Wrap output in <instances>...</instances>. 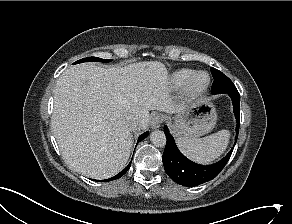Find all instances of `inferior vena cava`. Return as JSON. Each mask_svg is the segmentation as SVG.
<instances>
[{
	"label": "inferior vena cava",
	"mask_w": 292,
	"mask_h": 224,
	"mask_svg": "<svg viewBox=\"0 0 292 224\" xmlns=\"http://www.w3.org/2000/svg\"><path fill=\"white\" fill-rule=\"evenodd\" d=\"M127 127L130 131H138L140 129L139 121L135 119H129L127 121Z\"/></svg>",
	"instance_id": "inferior-vena-cava-1"
}]
</instances>
